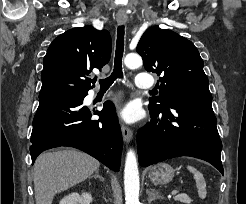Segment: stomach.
Instances as JSON below:
<instances>
[{
	"label": "stomach",
	"instance_id": "stomach-1",
	"mask_svg": "<svg viewBox=\"0 0 246 204\" xmlns=\"http://www.w3.org/2000/svg\"><path fill=\"white\" fill-rule=\"evenodd\" d=\"M148 177L156 185L167 184L174 177L173 168L167 163H160L151 167L148 171Z\"/></svg>",
	"mask_w": 246,
	"mask_h": 204
}]
</instances>
